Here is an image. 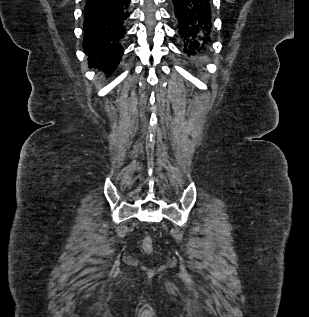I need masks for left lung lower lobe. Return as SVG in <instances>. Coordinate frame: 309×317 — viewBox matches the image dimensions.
<instances>
[{
    "instance_id": "left-lung-lower-lobe-1",
    "label": "left lung lower lobe",
    "mask_w": 309,
    "mask_h": 317,
    "mask_svg": "<svg viewBox=\"0 0 309 317\" xmlns=\"http://www.w3.org/2000/svg\"><path fill=\"white\" fill-rule=\"evenodd\" d=\"M178 33L184 52L199 59L213 42L212 0H172Z\"/></svg>"
}]
</instances>
